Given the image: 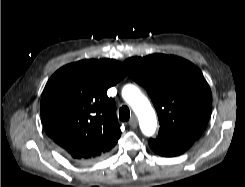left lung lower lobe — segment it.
Returning a JSON list of instances; mask_svg holds the SVG:
<instances>
[{"label":"left lung lower lobe","mask_w":245,"mask_h":187,"mask_svg":"<svg viewBox=\"0 0 245 187\" xmlns=\"http://www.w3.org/2000/svg\"><path fill=\"white\" fill-rule=\"evenodd\" d=\"M195 141L193 139L162 141L156 138L149 140V146L155 153L161 156L174 157L188 150Z\"/></svg>","instance_id":"left-lung-lower-lobe-1"}]
</instances>
